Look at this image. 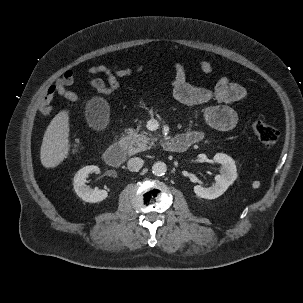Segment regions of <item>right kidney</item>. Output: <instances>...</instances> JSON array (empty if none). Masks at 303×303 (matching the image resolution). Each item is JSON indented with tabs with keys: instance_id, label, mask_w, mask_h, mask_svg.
Listing matches in <instances>:
<instances>
[{
	"instance_id": "obj_1",
	"label": "right kidney",
	"mask_w": 303,
	"mask_h": 303,
	"mask_svg": "<svg viewBox=\"0 0 303 303\" xmlns=\"http://www.w3.org/2000/svg\"><path fill=\"white\" fill-rule=\"evenodd\" d=\"M99 173L100 169L97 166L90 165L81 168L74 176L73 185L77 195L85 202L96 203L101 202L107 198L106 190L98 188H90L86 185V179L90 173Z\"/></svg>"
}]
</instances>
